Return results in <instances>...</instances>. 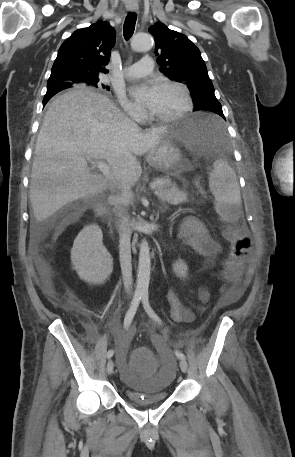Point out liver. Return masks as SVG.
Listing matches in <instances>:
<instances>
[{"label":"liver","mask_w":295,"mask_h":457,"mask_svg":"<svg viewBox=\"0 0 295 457\" xmlns=\"http://www.w3.org/2000/svg\"><path fill=\"white\" fill-rule=\"evenodd\" d=\"M167 129L142 131L106 95L88 88L54 99L34 151L29 198L35 219L109 186L129 190L142 174L137 156L154 149ZM87 159L107 161L112 179L91 173Z\"/></svg>","instance_id":"liver-1"}]
</instances>
